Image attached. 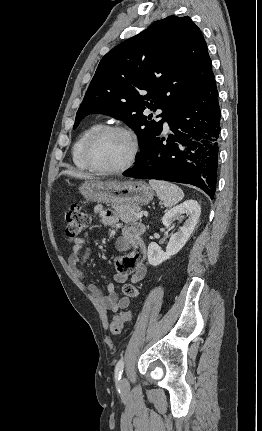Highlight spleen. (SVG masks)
<instances>
[{"label": "spleen", "mask_w": 262, "mask_h": 431, "mask_svg": "<svg viewBox=\"0 0 262 431\" xmlns=\"http://www.w3.org/2000/svg\"><path fill=\"white\" fill-rule=\"evenodd\" d=\"M150 186L156 191L157 196L166 208H170L179 203L183 197V190L177 185L159 180H149Z\"/></svg>", "instance_id": "1"}]
</instances>
